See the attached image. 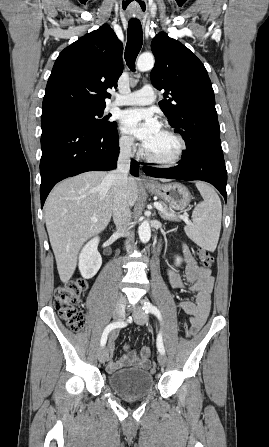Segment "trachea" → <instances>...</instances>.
Segmentation results:
<instances>
[{"mask_svg":"<svg viewBox=\"0 0 269 447\" xmlns=\"http://www.w3.org/2000/svg\"><path fill=\"white\" fill-rule=\"evenodd\" d=\"M143 43V32L139 20L128 22L127 44L125 49V60L128 67L134 72L136 57Z\"/></svg>","mask_w":269,"mask_h":447,"instance_id":"trachea-1","label":"trachea"}]
</instances>
